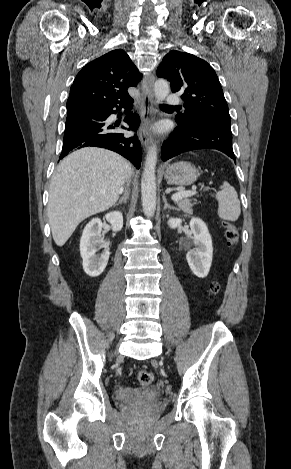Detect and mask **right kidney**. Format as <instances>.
I'll return each mask as SVG.
<instances>
[{
    "mask_svg": "<svg viewBox=\"0 0 291 469\" xmlns=\"http://www.w3.org/2000/svg\"><path fill=\"white\" fill-rule=\"evenodd\" d=\"M111 224L113 231H120L123 227V216L119 211L110 212L105 216ZM104 249L101 254H96ZM80 254L85 273L90 277L99 276L106 268L109 260V248L102 235V221L99 218L92 219L84 228L80 240Z\"/></svg>",
    "mask_w": 291,
    "mask_h": 469,
    "instance_id": "ca27d5eb",
    "label": "right kidney"
}]
</instances>
